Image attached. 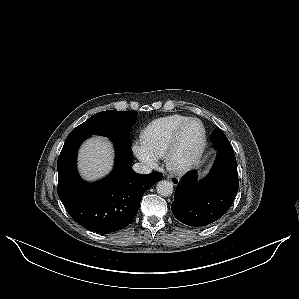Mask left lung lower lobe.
<instances>
[{
  "label": "left lung lower lobe",
  "instance_id": "obj_1",
  "mask_svg": "<svg viewBox=\"0 0 299 299\" xmlns=\"http://www.w3.org/2000/svg\"><path fill=\"white\" fill-rule=\"evenodd\" d=\"M213 143V142H212ZM217 158L209 175L197 181V171L185 176L174 195V216L189 226H205L222 217L232 205L239 181L231 145L213 143Z\"/></svg>",
  "mask_w": 299,
  "mask_h": 299
}]
</instances>
